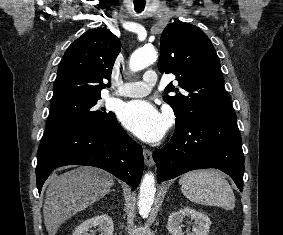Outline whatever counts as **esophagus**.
Segmentation results:
<instances>
[{"label":"esophagus","instance_id":"esophagus-1","mask_svg":"<svg viewBox=\"0 0 283 235\" xmlns=\"http://www.w3.org/2000/svg\"><path fill=\"white\" fill-rule=\"evenodd\" d=\"M143 156H144L145 165L148 167H152L154 165L152 151L150 149L144 148Z\"/></svg>","mask_w":283,"mask_h":235}]
</instances>
